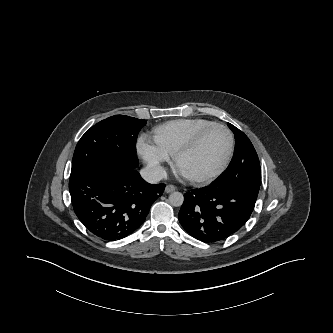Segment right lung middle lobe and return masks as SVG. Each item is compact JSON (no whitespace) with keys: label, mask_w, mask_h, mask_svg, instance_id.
Segmentation results:
<instances>
[{"label":"right lung middle lobe","mask_w":333,"mask_h":333,"mask_svg":"<svg viewBox=\"0 0 333 333\" xmlns=\"http://www.w3.org/2000/svg\"><path fill=\"white\" fill-rule=\"evenodd\" d=\"M146 123L143 119L115 115L91 127L75 148L70 178L91 170L135 169L137 134Z\"/></svg>","instance_id":"1"}]
</instances>
